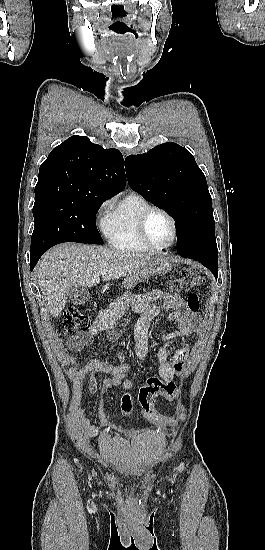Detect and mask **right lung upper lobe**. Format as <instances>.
Listing matches in <instances>:
<instances>
[{"label":"right lung upper lobe","mask_w":265,"mask_h":550,"mask_svg":"<svg viewBox=\"0 0 265 550\" xmlns=\"http://www.w3.org/2000/svg\"><path fill=\"white\" fill-rule=\"evenodd\" d=\"M123 156L87 137L72 136L54 148L39 170L35 197L111 198L124 188Z\"/></svg>","instance_id":"right-lung-upper-lobe-1"}]
</instances>
